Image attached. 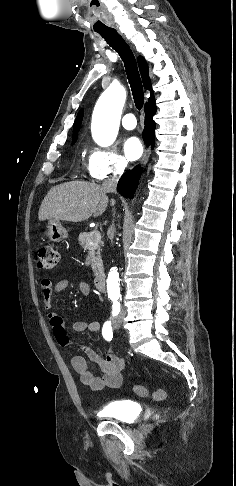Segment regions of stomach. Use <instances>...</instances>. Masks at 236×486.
Masks as SVG:
<instances>
[{
  "label": "stomach",
  "mask_w": 236,
  "mask_h": 486,
  "mask_svg": "<svg viewBox=\"0 0 236 486\" xmlns=\"http://www.w3.org/2000/svg\"><path fill=\"white\" fill-rule=\"evenodd\" d=\"M47 235L53 242H59L68 237L67 230L62 226L60 220L55 219L48 220Z\"/></svg>",
  "instance_id": "obj_1"
}]
</instances>
